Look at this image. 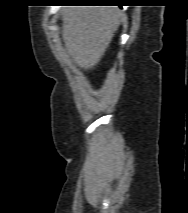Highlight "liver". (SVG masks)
<instances>
[{
  "mask_svg": "<svg viewBox=\"0 0 188 213\" xmlns=\"http://www.w3.org/2000/svg\"><path fill=\"white\" fill-rule=\"evenodd\" d=\"M123 13L117 6H71L62 16V39L73 61L92 69L118 30Z\"/></svg>",
  "mask_w": 188,
  "mask_h": 213,
  "instance_id": "liver-1",
  "label": "liver"
}]
</instances>
